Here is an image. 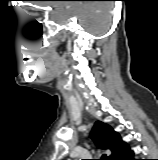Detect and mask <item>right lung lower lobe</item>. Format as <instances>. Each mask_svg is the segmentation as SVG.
Returning <instances> with one entry per match:
<instances>
[{
  "instance_id": "obj_1",
  "label": "right lung lower lobe",
  "mask_w": 158,
  "mask_h": 160,
  "mask_svg": "<svg viewBox=\"0 0 158 160\" xmlns=\"http://www.w3.org/2000/svg\"><path fill=\"white\" fill-rule=\"evenodd\" d=\"M134 153L130 149L125 151L117 160H137L133 158Z\"/></svg>"
}]
</instances>
